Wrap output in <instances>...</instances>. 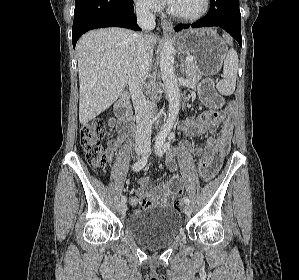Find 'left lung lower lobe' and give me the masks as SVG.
Returning a JSON list of instances; mask_svg holds the SVG:
<instances>
[{
    "instance_id": "0a47b994",
    "label": "left lung lower lobe",
    "mask_w": 299,
    "mask_h": 280,
    "mask_svg": "<svg viewBox=\"0 0 299 280\" xmlns=\"http://www.w3.org/2000/svg\"><path fill=\"white\" fill-rule=\"evenodd\" d=\"M218 26L226 30L241 45V14L239 0H210V10L205 17L193 24L177 25L175 31L189 27Z\"/></svg>"
}]
</instances>
